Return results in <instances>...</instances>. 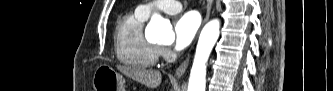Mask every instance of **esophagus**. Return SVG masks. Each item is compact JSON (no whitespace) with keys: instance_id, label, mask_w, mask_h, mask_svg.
Wrapping results in <instances>:
<instances>
[{"instance_id":"34e87169","label":"esophagus","mask_w":333,"mask_h":91,"mask_svg":"<svg viewBox=\"0 0 333 91\" xmlns=\"http://www.w3.org/2000/svg\"><path fill=\"white\" fill-rule=\"evenodd\" d=\"M211 5H212V0H209L208 5H207L206 15H205V18L203 20V24L205 22H207L209 17H210ZM189 59H190V56H188L187 59L178 67V69L176 70V75L177 76H182L186 72L188 64H189Z\"/></svg>"}]
</instances>
